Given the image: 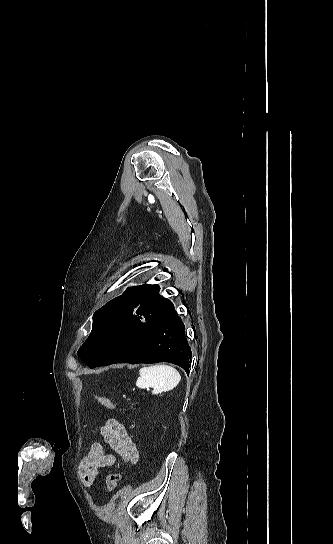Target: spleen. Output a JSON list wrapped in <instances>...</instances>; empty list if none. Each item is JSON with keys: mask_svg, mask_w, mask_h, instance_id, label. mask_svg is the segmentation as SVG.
Wrapping results in <instances>:
<instances>
[{"mask_svg": "<svg viewBox=\"0 0 333 544\" xmlns=\"http://www.w3.org/2000/svg\"><path fill=\"white\" fill-rule=\"evenodd\" d=\"M140 376L136 381L139 388H153V394H159L174 389L180 382L179 372L169 365H153L139 370Z\"/></svg>", "mask_w": 333, "mask_h": 544, "instance_id": "obj_1", "label": "spleen"}]
</instances>
